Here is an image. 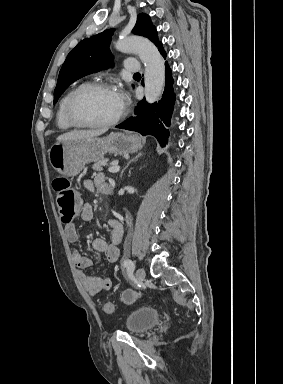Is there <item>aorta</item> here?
Returning <instances> with one entry per match:
<instances>
[{
	"instance_id": "obj_1",
	"label": "aorta",
	"mask_w": 283,
	"mask_h": 384,
	"mask_svg": "<svg viewBox=\"0 0 283 384\" xmlns=\"http://www.w3.org/2000/svg\"><path fill=\"white\" fill-rule=\"evenodd\" d=\"M116 49L123 53H136L145 65V98L148 103L156 102L165 81L164 59L156 46L149 40L131 36L119 39Z\"/></svg>"
}]
</instances>
